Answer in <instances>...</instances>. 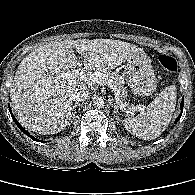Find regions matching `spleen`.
Wrapping results in <instances>:
<instances>
[{
    "mask_svg": "<svg viewBox=\"0 0 195 195\" xmlns=\"http://www.w3.org/2000/svg\"><path fill=\"white\" fill-rule=\"evenodd\" d=\"M177 91L174 85L166 87L135 117L123 120V125L134 136L143 140H153L167 128L176 106Z\"/></svg>",
    "mask_w": 195,
    "mask_h": 195,
    "instance_id": "obj_1",
    "label": "spleen"
}]
</instances>
